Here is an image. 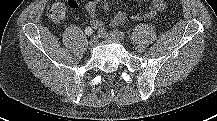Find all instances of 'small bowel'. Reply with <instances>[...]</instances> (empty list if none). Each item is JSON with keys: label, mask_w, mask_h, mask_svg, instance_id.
Listing matches in <instances>:
<instances>
[{"label": "small bowel", "mask_w": 217, "mask_h": 121, "mask_svg": "<svg viewBox=\"0 0 217 121\" xmlns=\"http://www.w3.org/2000/svg\"><path fill=\"white\" fill-rule=\"evenodd\" d=\"M101 0H88L86 3V11L89 14L91 20L90 25L93 29L98 30L99 32L104 30L103 22L96 17L97 13V5L100 3ZM68 5L70 8H76L78 3L76 0H69ZM108 8V4L105 5ZM166 8L165 0H152V8L144 15H134L132 18L134 20H141V19H152L154 18L159 12L163 11ZM127 21V15L123 11H118L110 21V26L116 27L119 26Z\"/></svg>", "instance_id": "obj_1"}]
</instances>
